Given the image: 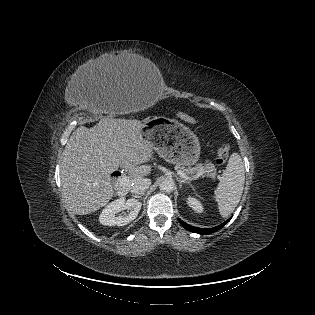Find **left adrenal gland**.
I'll return each instance as SVG.
<instances>
[{
    "mask_svg": "<svg viewBox=\"0 0 315 315\" xmlns=\"http://www.w3.org/2000/svg\"><path fill=\"white\" fill-rule=\"evenodd\" d=\"M177 181L179 182V186H180V187H181L182 184L184 183V184H188L191 188H193V186L191 185V183H190L189 181H186V180L181 179V178H178V177H177Z\"/></svg>",
    "mask_w": 315,
    "mask_h": 315,
    "instance_id": "obj_1",
    "label": "left adrenal gland"
}]
</instances>
